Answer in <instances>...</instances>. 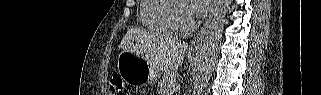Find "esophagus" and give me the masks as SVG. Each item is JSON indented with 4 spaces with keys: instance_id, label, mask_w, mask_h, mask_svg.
Returning a JSON list of instances; mask_svg holds the SVG:
<instances>
[{
    "instance_id": "esophagus-1",
    "label": "esophagus",
    "mask_w": 321,
    "mask_h": 95,
    "mask_svg": "<svg viewBox=\"0 0 321 95\" xmlns=\"http://www.w3.org/2000/svg\"><path fill=\"white\" fill-rule=\"evenodd\" d=\"M213 14H214V7L211 9V12H210L208 18H207L204 26L201 28L200 32L198 33V35L191 41L190 47H192V48L201 47L202 42L204 40V36L206 34V31L209 27L211 20H212Z\"/></svg>"
}]
</instances>
